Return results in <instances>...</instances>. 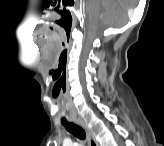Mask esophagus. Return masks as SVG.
Segmentation results:
<instances>
[{
    "label": "esophagus",
    "instance_id": "esophagus-1",
    "mask_svg": "<svg viewBox=\"0 0 164 146\" xmlns=\"http://www.w3.org/2000/svg\"><path fill=\"white\" fill-rule=\"evenodd\" d=\"M73 121H74V123H76L77 125H79L80 127H82L85 130L89 146H98V142L96 141L91 130L87 127L84 120L81 118H75V119H73Z\"/></svg>",
    "mask_w": 164,
    "mask_h": 146
}]
</instances>
